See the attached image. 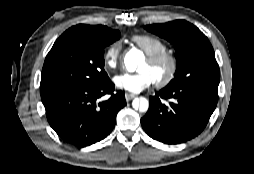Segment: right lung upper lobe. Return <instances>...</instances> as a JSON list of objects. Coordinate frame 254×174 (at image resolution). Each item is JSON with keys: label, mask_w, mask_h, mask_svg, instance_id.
Here are the masks:
<instances>
[{"label": "right lung upper lobe", "mask_w": 254, "mask_h": 174, "mask_svg": "<svg viewBox=\"0 0 254 174\" xmlns=\"http://www.w3.org/2000/svg\"><path fill=\"white\" fill-rule=\"evenodd\" d=\"M68 30L80 31L92 36H103L111 31V29L106 26H102V25L93 26V25H83V24L73 26Z\"/></svg>", "instance_id": "obj_1"}]
</instances>
